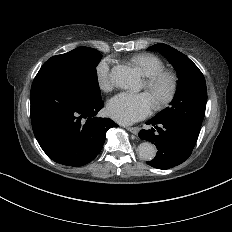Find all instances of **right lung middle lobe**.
Listing matches in <instances>:
<instances>
[{
	"instance_id": "right-lung-middle-lobe-1",
	"label": "right lung middle lobe",
	"mask_w": 232,
	"mask_h": 232,
	"mask_svg": "<svg viewBox=\"0 0 232 232\" xmlns=\"http://www.w3.org/2000/svg\"><path fill=\"white\" fill-rule=\"evenodd\" d=\"M98 50L89 47H78L68 53L51 57L44 65H61L72 71L74 77L90 99H101L96 66L101 60Z\"/></svg>"
}]
</instances>
